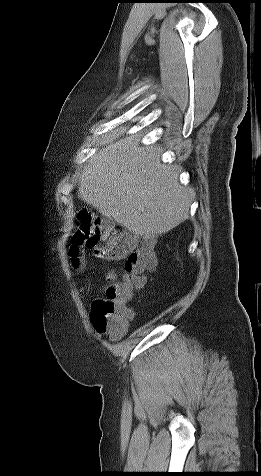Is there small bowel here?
Returning a JSON list of instances; mask_svg holds the SVG:
<instances>
[{
	"label": "small bowel",
	"instance_id": "small-bowel-1",
	"mask_svg": "<svg viewBox=\"0 0 261 476\" xmlns=\"http://www.w3.org/2000/svg\"><path fill=\"white\" fill-rule=\"evenodd\" d=\"M106 280H107V286L104 288V291H106L107 288L109 287H112V286L116 287L120 284L118 280V274L115 271L108 272L106 276Z\"/></svg>",
	"mask_w": 261,
	"mask_h": 476
}]
</instances>
